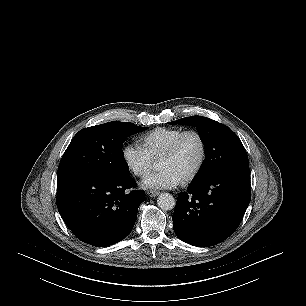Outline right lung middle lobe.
<instances>
[{"instance_id": "1", "label": "right lung middle lobe", "mask_w": 306, "mask_h": 306, "mask_svg": "<svg viewBox=\"0 0 306 306\" xmlns=\"http://www.w3.org/2000/svg\"><path fill=\"white\" fill-rule=\"evenodd\" d=\"M146 129L130 122L113 121L80 130L61 159L57 183L86 173L129 174L122 145L127 137Z\"/></svg>"}]
</instances>
